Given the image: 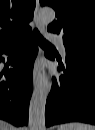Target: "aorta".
I'll return each mask as SVG.
<instances>
[{
	"label": "aorta",
	"instance_id": "obj_1",
	"mask_svg": "<svg viewBox=\"0 0 95 130\" xmlns=\"http://www.w3.org/2000/svg\"><path fill=\"white\" fill-rule=\"evenodd\" d=\"M38 20L48 25L55 19V11L52 8H41L37 12ZM50 88L49 77L45 72L39 77L29 105V130H46L45 106Z\"/></svg>",
	"mask_w": 95,
	"mask_h": 130
}]
</instances>
